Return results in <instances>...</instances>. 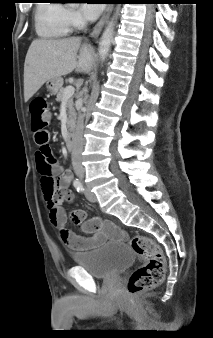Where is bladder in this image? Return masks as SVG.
<instances>
[{
	"label": "bladder",
	"instance_id": "obj_1",
	"mask_svg": "<svg viewBox=\"0 0 213 338\" xmlns=\"http://www.w3.org/2000/svg\"><path fill=\"white\" fill-rule=\"evenodd\" d=\"M73 258L76 265L92 277L107 279L129 267L135 255L127 242H110L90 252L76 254Z\"/></svg>",
	"mask_w": 213,
	"mask_h": 338
}]
</instances>
